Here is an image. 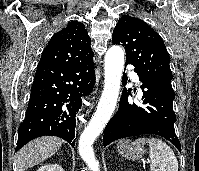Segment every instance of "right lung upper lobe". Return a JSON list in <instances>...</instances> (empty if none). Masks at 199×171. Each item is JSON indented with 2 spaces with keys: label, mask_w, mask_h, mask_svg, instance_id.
Returning <instances> with one entry per match:
<instances>
[{
  "label": "right lung upper lobe",
  "mask_w": 199,
  "mask_h": 171,
  "mask_svg": "<svg viewBox=\"0 0 199 171\" xmlns=\"http://www.w3.org/2000/svg\"><path fill=\"white\" fill-rule=\"evenodd\" d=\"M91 39L85 25L70 22L66 28L54 34L44 49L38 66L50 64H77L93 58Z\"/></svg>",
  "instance_id": "1"
}]
</instances>
